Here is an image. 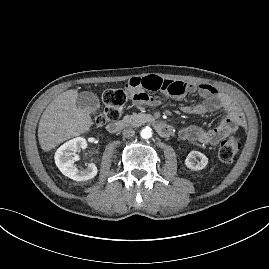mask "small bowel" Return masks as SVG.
Returning <instances> with one entry per match:
<instances>
[{
  "label": "small bowel",
  "instance_id": "small-bowel-1",
  "mask_svg": "<svg viewBox=\"0 0 269 269\" xmlns=\"http://www.w3.org/2000/svg\"><path fill=\"white\" fill-rule=\"evenodd\" d=\"M127 92L136 107L143 105L158 106L160 101L148 94V91H161L182 101L188 94L197 93L203 102L196 105H184L182 111L188 114L203 115L223 110L225 116L220 124L207 129L191 125L179 132L182 140L202 145H216L221 139L245 126V118L240 107L226 94L209 84H195L181 81L164 80L152 75L144 78H132L126 84Z\"/></svg>",
  "mask_w": 269,
  "mask_h": 269
}]
</instances>
